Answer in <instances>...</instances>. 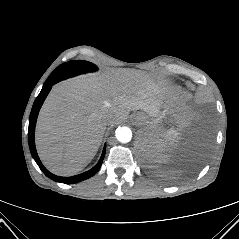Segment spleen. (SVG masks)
<instances>
[{"label": "spleen", "mask_w": 239, "mask_h": 239, "mask_svg": "<svg viewBox=\"0 0 239 239\" xmlns=\"http://www.w3.org/2000/svg\"><path fill=\"white\" fill-rule=\"evenodd\" d=\"M179 133L174 129L167 130L163 136L165 137L166 141L170 144H174L178 140Z\"/></svg>", "instance_id": "1"}]
</instances>
